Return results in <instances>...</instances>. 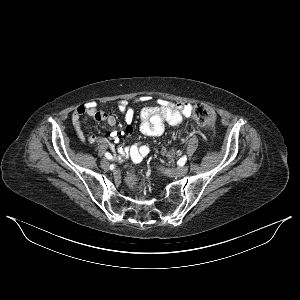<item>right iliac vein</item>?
<instances>
[{
    "mask_svg": "<svg viewBox=\"0 0 300 300\" xmlns=\"http://www.w3.org/2000/svg\"><path fill=\"white\" fill-rule=\"evenodd\" d=\"M101 167L104 169L109 168V162L106 159L101 160Z\"/></svg>",
    "mask_w": 300,
    "mask_h": 300,
    "instance_id": "63e3f726",
    "label": "right iliac vein"
}]
</instances>
